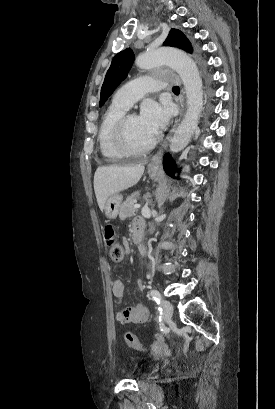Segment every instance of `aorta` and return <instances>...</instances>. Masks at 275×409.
I'll use <instances>...</instances> for the list:
<instances>
[{
  "label": "aorta",
  "mask_w": 275,
  "mask_h": 409,
  "mask_svg": "<svg viewBox=\"0 0 275 409\" xmlns=\"http://www.w3.org/2000/svg\"><path fill=\"white\" fill-rule=\"evenodd\" d=\"M139 68H148L151 65L169 64L180 74L187 96V110L181 124L175 130L170 140V150L179 152L190 142L200 118L203 106L202 78L193 58L178 50V48H158L156 51H144L135 60Z\"/></svg>",
  "instance_id": "762f6f07"
}]
</instances>
